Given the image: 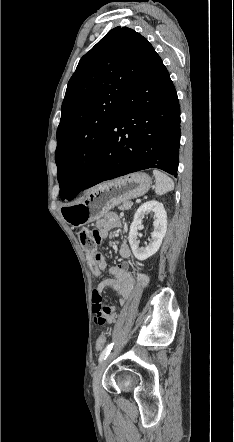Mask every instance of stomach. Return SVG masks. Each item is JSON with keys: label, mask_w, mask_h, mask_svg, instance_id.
Returning a JSON list of instances; mask_svg holds the SVG:
<instances>
[{"label": "stomach", "mask_w": 234, "mask_h": 442, "mask_svg": "<svg viewBox=\"0 0 234 442\" xmlns=\"http://www.w3.org/2000/svg\"><path fill=\"white\" fill-rule=\"evenodd\" d=\"M151 183L146 173H132L92 188L81 202L63 207L61 213L72 226L87 224L100 219L116 205L144 195Z\"/></svg>", "instance_id": "1"}]
</instances>
